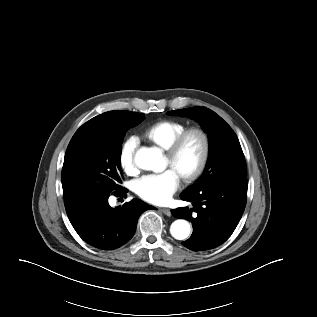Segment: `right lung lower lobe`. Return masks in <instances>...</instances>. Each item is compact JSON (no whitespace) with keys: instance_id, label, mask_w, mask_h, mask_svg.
<instances>
[{"instance_id":"1","label":"right lung lower lobe","mask_w":317,"mask_h":317,"mask_svg":"<svg viewBox=\"0 0 317 317\" xmlns=\"http://www.w3.org/2000/svg\"><path fill=\"white\" fill-rule=\"evenodd\" d=\"M115 194L124 195L126 192ZM109 195L80 206H67L69 220L78 235L93 247L113 250L127 243L134 235L139 216L153 209L139 199L112 208L108 204Z\"/></svg>"}]
</instances>
